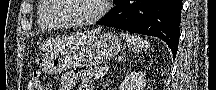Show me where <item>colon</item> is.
<instances>
[{
	"instance_id": "obj_1",
	"label": "colon",
	"mask_w": 216,
	"mask_h": 90,
	"mask_svg": "<svg viewBox=\"0 0 216 90\" xmlns=\"http://www.w3.org/2000/svg\"><path fill=\"white\" fill-rule=\"evenodd\" d=\"M28 90H42L40 80L38 78H31L28 82Z\"/></svg>"
}]
</instances>
